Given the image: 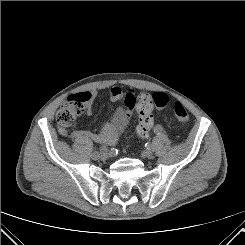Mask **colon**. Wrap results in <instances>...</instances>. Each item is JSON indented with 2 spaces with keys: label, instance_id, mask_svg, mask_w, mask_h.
Wrapping results in <instances>:
<instances>
[{
  "label": "colon",
  "instance_id": "5ec220e1",
  "mask_svg": "<svg viewBox=\"0 0 245 245\" xmlns=\"http://www.w3.org/2000/svg\"><path fill=\"white\" fill-rule=\"evenodd\" d=\"M155 94L157 93L149 94L142 92L137 96L136 110L138 112V124L136 134L141 139L149 136L150 130L154 124L153 108L156 106L153 97ZM160 94L163 95L167 106V95L164 93ZM90 98L91 95L89 93H81L72 95L65 101L56 116L57 125L61 133H65L66 129L71 126L76 118L85 110L86 104ZM174 116L176 122L181 125H186L189 121L185 107L179 102L174 106Z\"/></svg>",
  "mask_w": 245,
  "mask_h": 245
}]
</instances>
